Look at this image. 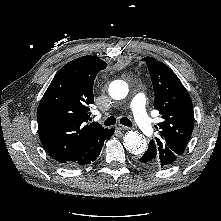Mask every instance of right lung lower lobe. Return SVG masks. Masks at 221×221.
Returning <instances> with one entry per match:
<instances>
[{"mask_svg": "<svg viewBox=\"0 0 221 221\" xmlns=\"http://www.w3.org/2000/svg\"><path fill=\"white\" fill-rule=\"evenodd\" d=\"M113 133H114V129L107 128L105 130V132L103 133V135L101 136L98 143L95 146H93L89 151H87L81 159H79L78 161H76L74 163H68L65 165L68 167H75V166H79V165L90 164L91 162H93L94 160L97 159V157L100 154V151L102 150V146L104 144V141L106 139H108L111 135H113Z\"/></svg>", "mask_w": 221, "mask_h": 221, "instance_id": "obj_1", "label": "right lung lower lobe"}]
</instances>
